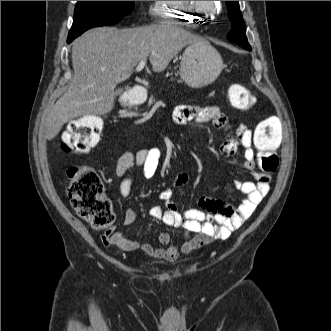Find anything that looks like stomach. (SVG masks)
<instances>
[{
    "label": "stomach",
    "mask_w": 331,
    "mask_h": 331,
    "mask_svg": "<svg viewBox=\"0 0 331 331\" xmlns=\"http://www.w3.org/2000/svg\"><path fill=\"white\" fill-rule=\"evenodd\" d=\"M223 69L218 51L206 40L189 44L180 62V76L190 87L198 88L212 83Z\"/></svg>",
    "instance_id": "0dacf381"
}]
</instances>
